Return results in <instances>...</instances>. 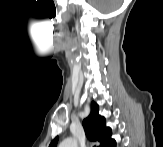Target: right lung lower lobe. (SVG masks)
I'll use <instances>...</instances> for the list:
<instances>
[{
  "label": "right lung lower lobe",
  "mask_w": 163,
  "mask_h": 147,
  "mask_svg": "<svg viewBox=\"0 0 163 147\" xmlns=\"http://www.w3.org/2000/svg\"><path fill=\"white\" fill-rule=\"evenodd\" d=\"M107 147H116L115 140H112L111 143Z\"/></svg>",
  "instance_id": "right-lung-lower-lobe-1"
}]
</instances>
